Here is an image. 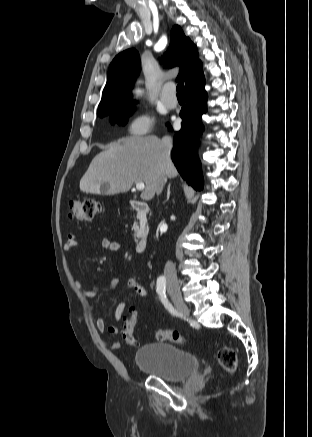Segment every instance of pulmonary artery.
<instances>
[{
	"mask_svg": "<svg viewBox=\"0 0 312 437\" xmlns=\"http://www.w3.org/2000/svg\"><path fill=\"white\" fill-rule=\"evenodd\" d=\"M162 103L168 108H174L177 105V96L172 89V84L167 83L160 92Z\"/></svg>",
	"mask_w": 312,
	"mask_h": 437,
	"instance_id": "e3ab8cb5",
	"label": "pulmonary artery"
}]
</instances>
